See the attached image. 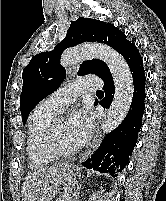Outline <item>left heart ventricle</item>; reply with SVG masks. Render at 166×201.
I'll use <instances>...</instances> for the list:
<instances>
[{"label":"left heart ventricle","instance_id":"obj_1","mask_svg":"<svg viewBox=\"0 0 166 201\" xmlns=\"http://www.w3.org/2000/svg\"><path fill=\"white\" fill-rule=\"evenodd\" d=\"M57 138L63 148L71 149L78 146L73 134L69 130L68 122L64 118H61L57 123Z\"/></svg>","mask_w":166,"mask_h":201}]
</instances>
